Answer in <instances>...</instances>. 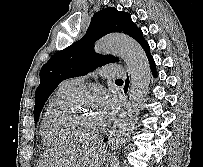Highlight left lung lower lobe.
I'll return each instance as SVG.
<instances>
[{"instance_id":"0a47b994","label":"left lung lower lobe","mask_w":203,"mask_h":167,"mask_svg":"<svg viewBox=\"0 0 203 167\" xmlns=\"http://www.w3.org/2000/svg\"><path fill=\"white\" fill-rule=\"evenodd\" d=\"M143 49L146 52V55L148 57L149 63H150V67H151V71L154 77H157V72H156V67H155V62L153 60V57L150 54V48L147 42H144L142 45ZM128 81V80H127ZM107 139H104V142H106Z\"/></svg>"}]
</instances>
